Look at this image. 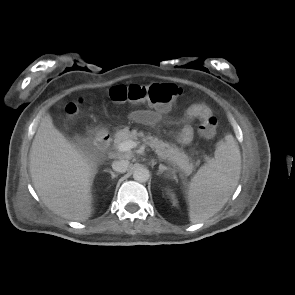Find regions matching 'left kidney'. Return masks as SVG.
<instances>
[{"label": "left kidney", "mask_w": 295, "mask_h": 295, "mask_svg": "<svg viewBox=\"0 0 295 295\" xmlns=\"http://www.w3.org/2000/svg\"><path fill=\"white\" fill-rule=\"evenodd\" d=\"M171 197H172V199H173V203L176 204L177 201H176V199L174 198V195H173V194H171Z\"/></svg>", "instance_id": "left-kidney-1"}]
</instances>
